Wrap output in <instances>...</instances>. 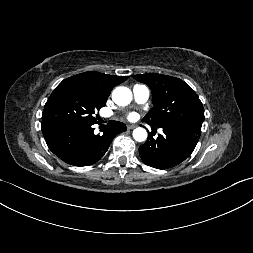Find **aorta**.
I'll return each instance as SVG.
<instances>
[{
	"label": "aorta",
	"instance_id": "1",
	"mask_svg": "<svg viewBox=\"0 0 253 253\" xmlns=\"http://www.w3.org/2000/svg\"><path fill=\"white\" fill-rule=\"evenodd\" d=\"M112 100L119 106H126L132 100V92L127 87H117L112 92ZM133 137L136 141L143 142L147 139V131L142 127H138L134 129Z\"/></svg>",
	"mask_w": 253,
	"mask_h": 253
}]
</instances>
